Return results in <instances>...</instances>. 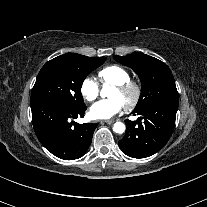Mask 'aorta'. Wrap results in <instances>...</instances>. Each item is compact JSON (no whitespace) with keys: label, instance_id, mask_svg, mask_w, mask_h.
I'll return each instance as SVG.
<instances>
[{"label":"aorta","instance_id":"762f6f07","mask_svg":"<svg viewBox=\"0 0 207 207\" xmlns=\"http://www.w3.org/2000/svg\"><path fill=\"white\" fill-rule=\"evenodd\" d=\"M112 89H113L112 86H109V85L105 84L102 87V90L100 92V95L102 97H109V96H111ZM125 128L126 127H125L124 123H122V122H116L114 124V126H113L114 132L115 133H118V134L124 133L125 132Z\"/></svg>","mask_w":207,"mask_h":207}]
</instances>
